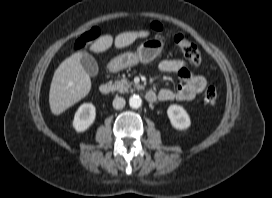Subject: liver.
Returning <instances> with one entry per match:
<instances>
[{
	"instance_id": "6515ba94",
	"label": "liver",
	"mask_w": 272,
	"mask_h": 198,
	"mask_svg": "<svg viewBox=\"0 0 272 198\" xmlns=\"http://www.w3.org/2000/svg\"><path fill=\"white\" fill-rule=\"evenodd\" d=\"M148 31L124 32L115 37V47L131 45L138 37L144 38ZM113 37H100L90 49L96 53L104 52L112 46ZM82 53L77 52L66 58L56 69L49 91V105L54 115H59L84 98L91 89L89 74L81 65Z\"/></svg>"
}]
</instances>
